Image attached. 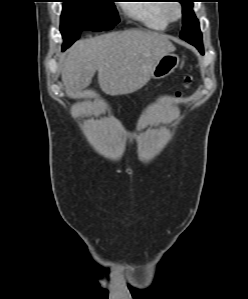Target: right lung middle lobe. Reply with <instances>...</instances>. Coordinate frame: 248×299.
<instances>
[{
    "instance_id": "right-lung-middle-lobe-1",
    "label": "right lung middle lobe",
    "mask_w": 248,
    "mask_h": 299,
    "mask_svg": "<svg viewBox=\"0 0 248 299\" xmlns=\"http://www.w3.org/2000/svg\"><path fill=\"white\" fill-rule=\"evenodd\" d=\"M114 0H63L60 31L63 49L76 41L85 30L104 31L118 22Z\"/></svg>"
}]
</instances>
